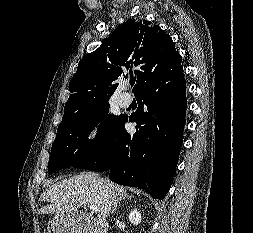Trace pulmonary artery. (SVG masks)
<instances>
[{
  "instance_id": "pulmonary-artery-1",
  "label": "pulmonary artery",
  "mask_w": 253,
  "mask_h": 233,
  "mask_svg": "<svg viewBox=\"0 0 253 233\" xmlns=\"http://www.w3.org/2000/svg\"><path fill=\"white\" fill-rule=\"evenodd\" d=\"M119 103L122 107H128L131 104V98L123 94L119 99Z\"/></svg>"
}]
</instances>
